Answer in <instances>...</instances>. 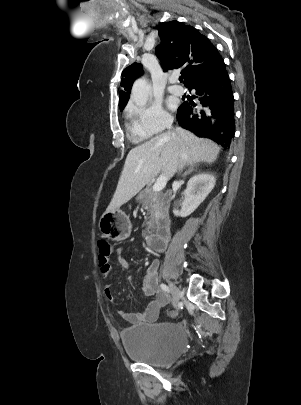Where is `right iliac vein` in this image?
Wrapping results in <instances>:
<instances>
[{"label":"right iliac vein","instance_id":"1","mask_svg":"<svg viewBox=\"0 0 301 405\" xmlns=\"http://www.w3.org/2000/svg\"><path fill=\"white\" fill-rule=\"evenodd\" d=\"M169 287L172 293V297H173V304L174 306H176L180 300L181 297V291L179 290V288H177L173 283H169Z\"/></svg>","mask_w":301,"mask_h":405}]
</instances>
